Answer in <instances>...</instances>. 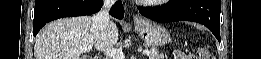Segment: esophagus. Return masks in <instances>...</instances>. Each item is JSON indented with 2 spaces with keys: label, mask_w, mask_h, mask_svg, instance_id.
<instances>
[{
  "label": "esophagus",
  "mask_w": 261,
  "mask_h": 59,
  "mask_svg": "<svg viewBox=\"0 0 261 59\" xmlns=\"http://www.w3.org/2000/svg\"><path fill=\"white\" fill-rule=\"evenodd\" d=\"M133 19H134L135 22H140V21H142V18H141L138 14H135V15L133 16Z\"/></svg>",
  "instance_id": "esophagus-1"
}]
</instances>
